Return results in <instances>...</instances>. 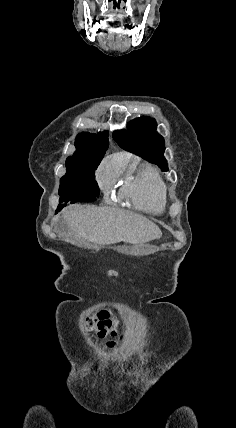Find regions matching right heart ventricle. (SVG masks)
I'll use <instances>...</instances> for the list:
<instances>
[{"label": "right heart ventricle", "mask_w": 236, "mask_h": 428, "mask_svg": "<svg viewBox=\"0 0 236 428\" xmlns=\"http://www.w3.org/2000/svg\"><path fill=\"white\" fill-rule=\"evenodd\" d=\"M126 167L127 163L123 162L121 168L125 171ZM121 194L138 209L159 212L166 204L168 186L152 167H134L127 172Z\"/></svg>", "instance_id": "e07e8e85"}]
</instances>
